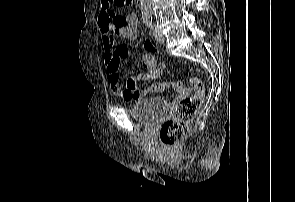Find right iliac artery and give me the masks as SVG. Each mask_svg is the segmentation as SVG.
Here are the masks:
<instances>
[{
	"label": "right iliac artery",
	"mask_w": 295,
	"mask_h": 202,
	"mask_svg": "<svg viewBox=\"0 0 295 202\" xmlns=\"http://www.w3.org/2000/svg\"><path fill=\"white\" fill-rule=\"evenodd\" d=\"M146 25H147L148 27H150L149 23H146Z\"/></svg>",
	"instance_id": "82829eb1"
}]
</instances>
